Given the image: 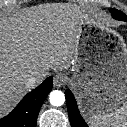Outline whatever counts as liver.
I'll return each instance as SVG.
<instances>
[{
  "label": "liver",
  "instance_id": "obj_1",
  "mask_svg": "<svg viewBox=\"0 0 127 127\" xmlns=\"http://www.w3.org/2000/svg\"><path fill=\"white\" fill-rule=\"evenodd\" d=\"M86 19V12L73 4L41 5L0 17V117L31 89V76L73 65Z\"/></svg>",
  "mask_w": 127,
  "mask_h": 127
}]
</instances>
